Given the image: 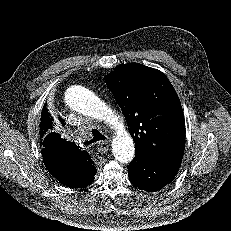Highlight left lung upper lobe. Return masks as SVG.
Here are the masks:
<instances>
[{
	"label": "left lung upper lobe",
	"mask_w": 231,
	"mask_h": 231,
	"mask_svg": "<svg viewBox=\"0 0 231 231\" xmlns=\"http://www.w3.org/2000/svg\"><path fill=\"white\" fill-rule=\"evenodd\" d=\"M104 80L126 119L136 155L181 162L185 120L168 78L157 69L135 63L116 67Z\"/></svg>",
	"instance_id": "obj_1"
}]
</instances>
